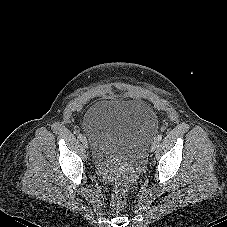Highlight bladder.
Listing matches in <instances>:
<instances>
[{"instance_id":"31cf9c89","label":"bladder","mask_w":227,"mask_h":227,"mask_svg":"<svg viewBox=\"0 0 227 227\" xmlns=\"http://www.w3.org/2000/svg\"><path fill=\"white\" fill-rule=\"evenodd\" d=\"M157 128L156 113L132 99L96 102L83 117V130L92 140L96 163L120 158L143 161Z\"/></svg>"}]
</instances>
